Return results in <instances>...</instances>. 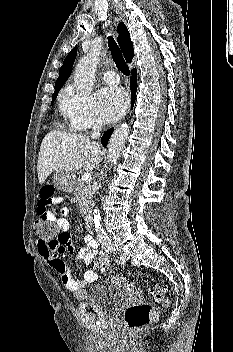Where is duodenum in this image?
I'll return each instance as SVG.
<instances>
[{
    "mask_svg": "<svg viewBox=\"0 0 233 352\" xmlns=\"http://www.w3.org/2000/svg\"><path fill=\"white\" fill-rule=\"evenodd\" d=\"M84 219L86 221L87 224L92 225L93 224V216H92V212L89 209H86L84 212Z\"/></svg>",
    "mask_w": 233,
    "mask_h": 352,
    "instance_id": "410a0bca",
    "label": "duodenum"
}]
</instances>
